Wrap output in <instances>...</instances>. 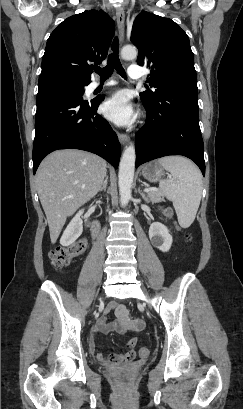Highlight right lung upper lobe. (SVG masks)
I'll use <instances>...</instances> for the list:
<instances>
[{"mask_svg": "<svg viewBox=\"0 0 243 409\" xmlns=\"http://www.w3.org/2000/svg\"><path fill=\"white\" fill-rule=\"evenodd\" d=\"M114 28V21L102 10L64 20L48 38L39 79L62 76L89 84L92 64L106 58Z\"/></svg>", "mask_w": 243, "mask_h": 409, "instance_id": "1", "label": "right lung upper lobe"}]
</instances>
